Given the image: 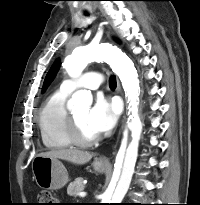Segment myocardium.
Here are the masks:
<instances>
[{"label": "myocardium", "mask_w": 200, "mask_h": 205, "mask_svg": "<svg viewBox=\"0 0 200 205\" xmlns=\"http://www.w3.org/2000/svg\"><path fill=\"white\" fill-rule=\"evenodd\" d=\"M67 135L72 144L79 147H89L96 144L100 137L97 135L92 138H85L81 135L76 119L71 113L67 116Z\"/></svg>", "instance_id": "myocardium-1"}]
</instances>
